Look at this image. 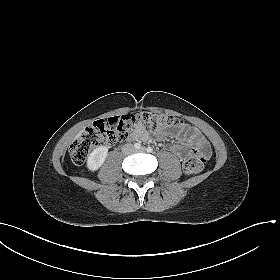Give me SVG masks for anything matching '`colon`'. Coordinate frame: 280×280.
I'll list each match as a JSON object with an SVG mask.
<instances>
[{
  "label": "colon",
  "instance_id": "1",
  "mask_svg": "<svg viewBox=\"0 0 280 280\" xmlns=\"http://www.w3.org/2000/svg\"><path fill=\"white\" fill-rule=\"evenodd\" d=\"M140 122L151 130L173 128L182 125V121L173 115L139 111L121 117L97 120L70 147L71 158L75 164L85 162L88 154L100 146L116 145L125 140L128 129ZM210 156V149L193 150L183 163V171L187 175L198 174Z\"/></svg>",
  "mask_w": 280,
  "mask_h": 280
}]
</instances>
